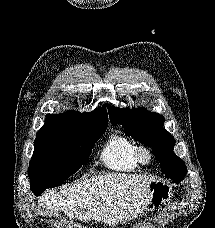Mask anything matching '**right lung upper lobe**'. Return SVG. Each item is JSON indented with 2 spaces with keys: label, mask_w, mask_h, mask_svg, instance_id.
Masks as SVG:
<instances>
[{
  "label": "right lung upper lobe",
  "mask_w": 215,
  "mask_h": 228,
  "mask_svg": "<svg viewBox=\"0 0 215 228\" xmlns=\"http://www.w3.org/2000/svg\"><path fill=\"white\" fill-rule=\"evenodd\" d=\"M101 123L108 124L105 105L102 108H96L90 113H80L71 110L63 114H48L46 116V122L44 126L38 131L37 134H41L53 129Z\"/></svg>",
  "instance_id": "right-lung-upper-lobe-1"
}]
</instances>
